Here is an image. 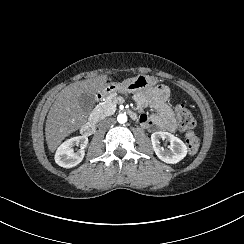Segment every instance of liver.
Instances as JSON below:
<instances>
[{
	"mask_svg": "<svg viewBox=\"0 0 244 244\" xmlns=\"http://www.w3.org/2000/svg\"><path fill=\"white\" fill-rule=\"evenodd\" d=\"M107 79V75H101L79 81L65 87L57 94L48 113L45 127L46 142L51 152H54L67 136L77 131L88 120L89 114L83 112L79 104L80 95L98 93Z\"/></svg>",
	"mask_w": 244,
	"mask_h": 244,
	"instance_id": "obj_1",
	"label": "liver"
}]
</instances>
